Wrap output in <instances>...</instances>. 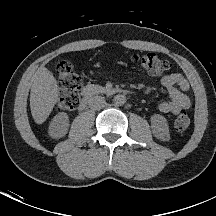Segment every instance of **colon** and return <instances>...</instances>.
Segmentation results:
<instances>
[{
  "label": "colon",
  "mask_w": 216,
  "mask_h": 216,
  "mask_svg": "<svg viewBox=\"0 0 216 216\" xmlns=\"http://www.w3.org/2000/svg\"><path fill=\"white\" fill-rule=\"evenodd\" d=\"M132 60L136 66L152 75H160L170 69L169 61L161 58L156 53L135 54L132 56ZM55 76L61 89L59 108L62 110H74L79 105L82 86L81 77L74 72L68 62L59 63ZM189 125L190 118L185 112L179 114L174 122L177 131H184Z\"/></svg>",
  "instance_id": "5ec220e1"
}]
</instances>
